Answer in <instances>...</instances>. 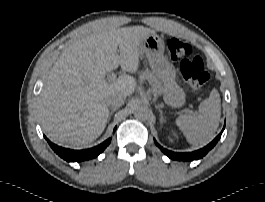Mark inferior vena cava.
Listing matches in <instances>:
<instances>
[{"label": "inferior vena cava", "instance_id": "obj_1", "mask_svg": "<svg viewBox=\"0 0 265 202\" xmlns=\"http://www.w3.org/2000/svg\"><path fill=\"white\" fill-rule=\"evenodd\" d=\"M125 99L126 94L121 92H113L106 97L105 102L108 107L117 109L124 104Z\"/></svg>", "mask_w": 265, "mask_h": 202}]
</instances>
